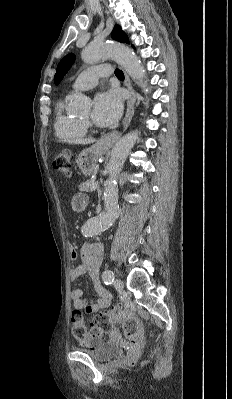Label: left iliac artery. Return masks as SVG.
<instances>
[{"label":"left iliac artery","mask_w":232,"mask_h":399,"mask_svg":"<svg viewBox=\"0 0 232 399\" xmlns=\"http://www.w3.org/2000/svg\"><path fill=\"white\" fill-rule=\"evenodd\" d=\"M103 281L105 285H111L114 282V273L111 270H105L103 273Z\"/></svg>","instance_id":"44dca946"}]
</instances>
